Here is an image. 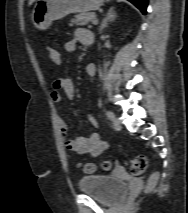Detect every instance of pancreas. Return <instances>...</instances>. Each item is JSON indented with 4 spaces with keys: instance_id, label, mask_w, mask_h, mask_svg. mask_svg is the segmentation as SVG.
Masks as SVG:
<instances>
[{
    "instance_id": "obj_1",
    "label": "pancreas",
    "mask_w": 188,
    "mask_h": 213,
    "mask_svg": "<svg viewBox=\"0 0 188 213\" xmlns=\"http://www.w3.org/2000/svg\"><path fill=\"white\" fill-rule=\"evenodd\" d=\"M95 17L96 15L93 12L77 14L71 20V25L85 26L88 25V23L92 22V20L95 19Z\"/></svg>"
}]
</instances>
